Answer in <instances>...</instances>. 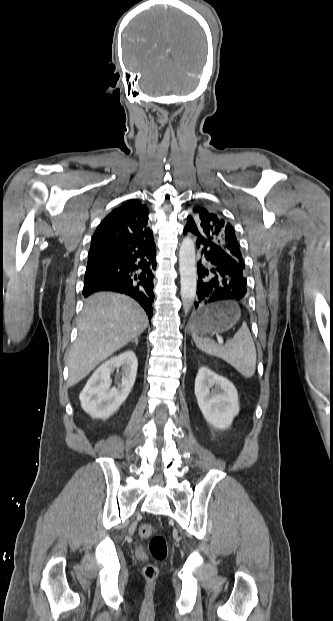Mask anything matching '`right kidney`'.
Here are the masks:
<instances>
[{
    "instance_id": "obj_1",
    "label": "right kidney",
    "mask_w": 333,
    "mask_h": 621,
    "mask_svg": "<svg viewBox=\"0 0 333 621\" xmlns=\"http://www.w3.org/2000/svg\"><path fill=\"white\" fill-rule=\"evenodd\" d=\"M122 368V380L111 387V374ZM138 361L132 350H126L104 362L90 377L79 395L83 410L93 418H108L128 397L135 383Z\"/></svg>"
}]
</instances>
